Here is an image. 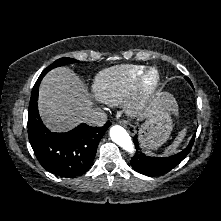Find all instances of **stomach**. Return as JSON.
I'll use <instances>...</instances> for the list:
<instances>
[{
    "label": "stomach",
    "mask_w": 221,
    "mask_h": 221,
    "mask_svg": "<svg viewBox=\"0 0 221 221\" xmlns=\"http://www.w3.org/2000/svg\"><path fill=\"white\" fill-rule=\"evenodd\" d=\"M173 97L168 93H158L141 125L139 138L141 145L148 149H156L169 138L173 129L169 103Z\"/></svg>",
    "instance_id": "obj_1"
}]
</instances>
